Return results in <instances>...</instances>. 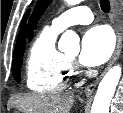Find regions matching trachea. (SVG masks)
I'll return each instance as SVG.
<instances>
[{"instance_id": "trachea-1", "label": "trachea", "mask_w": 123, "mask_h": 113, "mask_svg": "<svg viewBox=\"0 0 123 113\" xmlns=\"http://www.w3.org/2000/svg\"><path fill=\"white\" fill-rule=\"evenodd\" d=\"M101 9L104 13H108L110 11V3L109 0H101L100 1Z\"/></svg>"}]
</instances>
